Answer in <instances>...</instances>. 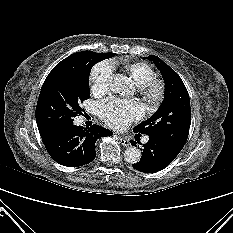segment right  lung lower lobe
<instances>
[{
	"label": "right lung lower lobe",
	"instance_id": "98d812e1",
	"mask_svg": "<svg viewBox=\"0 0 233 233\" xmlns=\"http://www.w3.org/2000/svg\"><path fill=\"white\" fill-rule=\"evenodd\" d=\"M113 133L99 125L90 128L71 125L68 129L49 135H41L50 156L59 164L78 167L90 163L96 157L95 142Z\"/></svg>",
	"mask_w": 233,
	"mask_h": 233
}]
</instances>
